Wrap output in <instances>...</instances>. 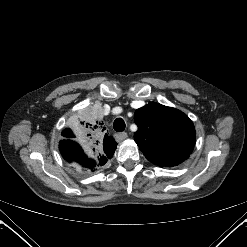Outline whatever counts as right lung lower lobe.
<instances>
[{"mask_svg":"<svg viewBox=\"0 0 247 247\" xmlns=\"http://www.w3.org/2000/svg\"><path fill=\"white\" fill-rule=\"evenodd\" d=\"M60 151L64 159H66L69 162L76 163L82 166L83 168L92 169L95 166H97L87 165L88 159L83 153L81 146L71 139L63 140L62 142H60Z\"/></svg>","mask_w":247,"mask_h":247,"instance_id":"98d812e1","label":"right lung lower lobe"}]
</instances>
